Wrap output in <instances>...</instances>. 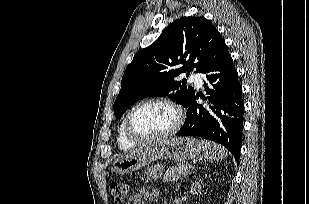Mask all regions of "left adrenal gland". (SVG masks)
<instances>
[{
    "label": "left adrenal gland",
    "instance_id": "1",
    "mask_svg": "<svg viewBox=\"0 0 309 204\" xmlns=\"http://www.w3.org/2000/svg\"><path fill=\"white\" fill-rule=\"evenodd\" d=\"M179 188H180V185H178V188L176 189V191H178V190H179Z\"/></svg>",
    "mask_w": 309,
    "mask_h": 204
}]
</instances>
